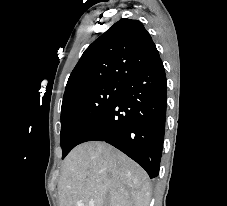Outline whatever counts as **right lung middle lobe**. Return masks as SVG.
Wrapping results in <instances>:
<instances>
[{"label":"right lung middle lobe","instance_id":"obj_1","mask_svg":"<svg viewBox=\"0 0 227 206\" xmlns=\"http://www.w3.org/2000/svg\"><path fill=\"white\" fill-rule=\"evenodd\" d=\"M122 82H107L80 90L63 99L61 108L62 158L120 96Z\"/></svg>","mask_w":227,"mask_h":206}]
</instances>
